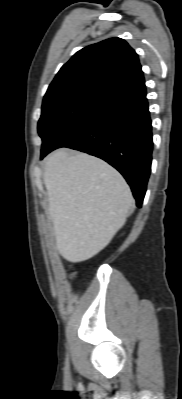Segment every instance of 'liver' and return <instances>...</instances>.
<instances>
[{
    "instance_id": "6515ba94",
    "label": "liver",
    "mask_w": 182,
    "mask_h": 399,
    "mask_svg": "<svg viewBox=\"0 0 182 399\" xmlns=\"http://www.w3.org/2000/svg\"><path fill=\"white\" fill-rule=\"evenodd\" d=\"M44 183L57 249L74 263L108 245L134 202L120 173L85 153H52L45 161Z\"/></svg>"
}]
</instances>
